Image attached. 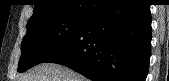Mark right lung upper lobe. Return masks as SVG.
<instances>
[{
    "label": "right lung upper lobe",
    "instance_id": "obj_1",
    "mask_svg": "<svg viewBox=\"0 0 169 81\" xmlns=\"http://www.w3.org/2000/svg\"><path fill=\"white\" fill-rule=\"evenodd\" d=\"M113 0H35L29 22L50 16L90 17Z\"/></svg>",
    "mask_w": 169,
    "mask_h": 81
}]
</instances>
